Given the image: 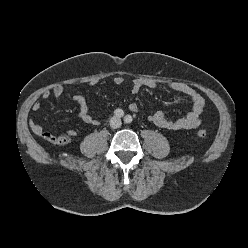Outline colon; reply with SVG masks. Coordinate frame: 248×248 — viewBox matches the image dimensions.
I'll return each mask as SVG.
<instances>
[{"label":"colon","mask_w":248,"mask_h":248,"mask_svg":"<svg viewBox=\"0 0 248 248\" xmlns=\"http://www.w3.org/2000/svg\"><path fill=\"white\" fill-rule=\"evenodd\" d=\"M197 135L200 138H205L207 135V132L204 129H200L198 130ZM47 140H49L50 142L54 144L61 145L67 142V137L64 135H48Z\"/></svg>","instance_id":"5ec220e1"}]
</instances>
